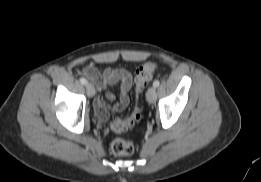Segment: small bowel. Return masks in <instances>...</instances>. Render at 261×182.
<instances>
[{"label": "small bowel", "mask_w": 261, "mask_h": 182, "mask_svg": "<svg viewBox=\"0 0 261 182\" xmlns=\"http://www.w3.org/2000/svg\"><path fill=\"white\" fill-rule=\"evenodd\" d=\"M84 74L92 80L99 91H105L111 85L119 84L118 101L112 105L107 104L114 99V95L106 92L105 97L98 96L94 100V108L98 118L108 119L110 114L122 112L129 104V92L132 87L130 73L120 68L100 69L94 65H88Z\"/></svg>", "instance_id": "1"}]
</instances>
